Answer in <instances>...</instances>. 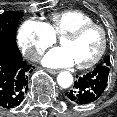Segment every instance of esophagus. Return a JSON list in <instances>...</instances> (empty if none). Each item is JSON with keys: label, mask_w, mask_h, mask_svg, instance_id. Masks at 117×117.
<instances>
[{"label": "esophagus", "mask_w": 117, "mask_h": 117, "mask_svg": "<svg viewBox=\"0 0 117 117\" xmlns=\"http://www.w3.org/2000/svg\"><path fill=\"white\" fill-rule=\"evenodd\" d=\"M50 74H57L59 71L58 70H54V69H48L47 70Z\"/></svg>", "instance_id": "34e87169"}]
</instances>
